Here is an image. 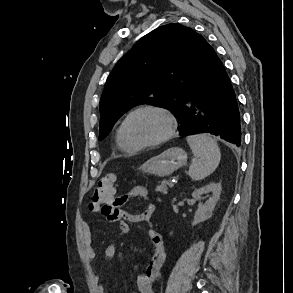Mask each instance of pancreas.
Masks as SVG:
<instances>
[{
    "label": "pancreas",
    "mask_w": 293,
    "mask_h": 293,
    "mask_svg": "<svg viewBox=\"0 0 293 293\" xmlns=\"http://www.w3.org/2000/svg\"><path fill=\"white\" fill-rule=\"evenodd\" d=\"M170 182L168 180H162L161 182H159V184L156 187V191L157 192H161L162 194H167L168 192V186H169Z\"/></svg>",
    "instance_id": "pancreas-1"
}]
</instances>
